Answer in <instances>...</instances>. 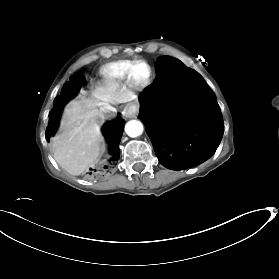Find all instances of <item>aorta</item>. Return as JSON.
<instances>
[{"instance_id": "aorta-1", "label": "aorta", "mask_w": 279, "mask_h": 279, "mask_svg": "<svg viewBox=\"0 0 279 279\" xmlns=\"http://www.w3.org/2000/svg\"><path fill=\"white\" fill-rule=\"evenodd\" d=\"M125 131L128 136L137 137L142 134L143 126H142L141 122L132 120L126 124Z\"/></svg>"}]
</instances>
